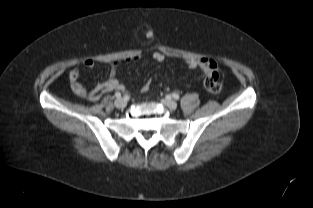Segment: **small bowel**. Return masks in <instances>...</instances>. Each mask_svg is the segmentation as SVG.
Masks as SVG:
<instances>
[{
  "label": "small bowel",
  "mask_w": 313,
  "mask_h": 208,
  "mask_svg": "<svg viewBox=\"0 0 313 208\" xmlns=\"http://www.w3.org/2000/svg\"><path fill=\"white\" fill-rule=\"evenodd\" d=\"M152 58L157 62H163L165 56L161 52H154L152 54ZM137 59H139V56L130 57L126 61L129 62ZM94 64L95 62L91 58H86L82 61V65L88 69L93 68ZM120 64L121 62H114L111 67L109 79L105 82L98 84L92 90L87 89L79 80V69H72L69 74L71 90L75 95L92 102L97 101L104 93L114 90L123 91L125 89L124 85L116 78L117 68ZM186 64L190 69H201L205 75H207L210 71L217 69V63L213 59L208 57H203L200 59L191 58L186 61Z\"/></svg>",
  "instance_id": "c3829d8e"
}]
</instances>
